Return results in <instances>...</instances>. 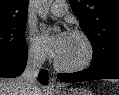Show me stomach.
<instances>
[{
	"instance_id": "0dacf381",
	"label": "stomach",
	"mask_w": 119,
	"mask_h": 95,
	"mask_svg": "<svg viewBox=\"0 0 119 95\" xmlns=\"http://www.w3.org/2000/svg\"><path fill=\"white\" fill-rule=\"evenodd\" d=\"M53 95H92V93L83 88H74L54 92Z\"/></svg>"
}]
</instances>
